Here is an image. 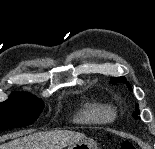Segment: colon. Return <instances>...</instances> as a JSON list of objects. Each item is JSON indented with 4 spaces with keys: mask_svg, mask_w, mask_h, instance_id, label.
Listing matches in <instances>:
<instances>
[{
    "mask_svg": "<svg viewBox=\"0 0 155 149\" xmlns=\"http://www.w3.org/2000/svg\"><path fill=\"white\" fill-rule=\"evenodd\" d=\"M120 149H136L134 144L130 141H124L121 143Z\"/></svg>",
    "mask_w": 155,
    "mask_h": 149,
    "instance_id": "colon-1",
    "label": "colon"
}]
</instances>
